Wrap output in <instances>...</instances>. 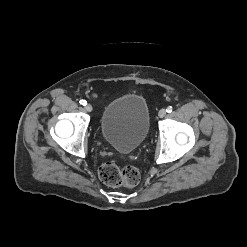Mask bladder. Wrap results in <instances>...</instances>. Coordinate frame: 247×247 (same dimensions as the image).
Masks as SVG:
<instances>
[{
  "label": "bladder",
  "mask_w": 247,
  "mask_h": 247,
  "mask_svg": "<svg viewBox=\"0 0 247 247\" xmlns=\"http://www.w3.org/2000/svg\"><path fill=\"white\" fill-rule=\"evenodd\" d=\"M150 115L146 100L137 94H125L108 103L101 115L104 140L121 153H131L149 132Z\"/></svg>",
  "instance_id": "bladder-1"
}]
</instances>
